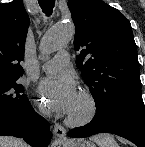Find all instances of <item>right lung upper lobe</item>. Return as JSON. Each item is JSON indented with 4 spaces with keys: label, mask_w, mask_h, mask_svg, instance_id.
<instances>
[{
    "label": "right lung upper lobe",
    "mask_w": 145,
    "mask_h": 147,
    "mask_svg": "<svg viewBox=\"0 0 145 147\" xmlns=\"http://www.w3.org/2000/svg\"><path fill=\"white\" fill-rule=\"evenodd\" d=\"M29 27V17L22 0L0 6V78L21 75L20 61Z\"/></svg>",
    "instance_id": "right-lung-upper-lobe-1"
}]
</instances>
